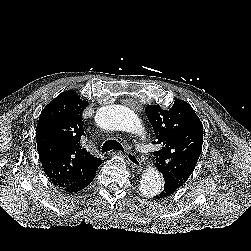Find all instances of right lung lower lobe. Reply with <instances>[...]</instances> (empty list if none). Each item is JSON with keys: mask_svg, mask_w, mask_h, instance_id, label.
Wrapping results in <instances>:
<instances>
[{"mask_svg": "<svg viewBox=\"0 0 251 251\" xmlns=\"http://www.w3.org/2000/svg\"><path fill=\"white\" fill-rule=\"evenodd\" d=\"M94 176H95V175H94ZM94 176L91 177V178L88 179V180H85V181L83 182V184H80V186L71 187V185H70V186L65 187V188L58 187V186H57V187L60 188V189H62V190H64V191H66V192H68V193H76V192H79V191H81L82 189H84L86 186H88V185L90 184V182H92V180L94 179Z\"/></svg>", "mask_w": 251, "mask_h": 251, "instance_id": "obj_1", "label": "right lung lower lobe"}]
</instances>
